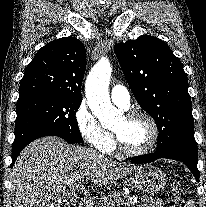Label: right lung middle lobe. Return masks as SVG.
I'll use <instances>...</instances> for the list:
<instances>
[{
  "instance_id": "obj_1",
  "label": "right lung middle lobe",
  "mask_w": 206,
  "mask_h": 207,
  "mask_svg": "<svg viewBox=\"0 0 206 207\" xmlns=\"http://www.w3.org/2000/svg\"><path fill=\"white\" fill-rule=\"evenodd\" d=\"M81 101V99L51 95L18 100L12 149L46 134H55L78 143L82 142L75 116Z\"/></svg>"
}]
</instances>
